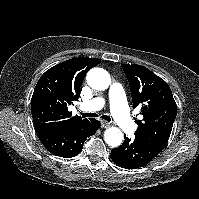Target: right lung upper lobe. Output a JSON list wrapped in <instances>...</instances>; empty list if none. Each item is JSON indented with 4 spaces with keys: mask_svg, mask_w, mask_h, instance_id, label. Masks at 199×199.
Instances as JSON below:
<instances>
[{
    "mask_svg": "<svg viewBox=\"0 0 199 199\" xmlns=\"http://www.w3.org/2000/svg\"><path fill=\"white\" fill-rule=\"evenodd\" d=\"M100 62L97 58H73L53 66L41 76L31 99L35 129L68 127L87 120L71 117L68 106L79 98L86 73Z\"/></svg>",
    "mask_w": 199,
    "mask_h": 199,
    "instance_id": "cb5924a9",
    "label": "right lung upper lobe"
}]
</instances>
